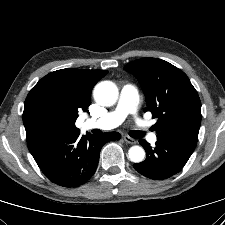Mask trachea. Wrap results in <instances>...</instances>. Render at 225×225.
Masks as SVG:
<instances>
[{"instance_id":"1","label":"trachea","mask_w":225,"mask_h":225,"mask_svg":"<svg viewBox=\"0 0 225 225\" xmlns=\"http://www.w3.org/2000/svg\"><path fill=\"white\" fill-rule=\"evenodd\" d=\"M130 136L133 138H142L144 136V132L142 131H132Z\"/></svg>"}]
</instances>
